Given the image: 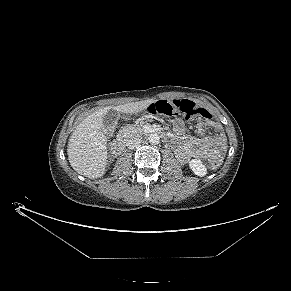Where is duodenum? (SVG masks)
I'll list each match as a JSON object with an SVG mask.
<instances>
[{
  "label": "duodenum",
  "instance_id": "1",
  "mask_svg": "<svg viewBox=\"0 0 291 291\" xmlns=\"http://www.w3.org/2000/svg\"><path fill=\"white\" fill-rule=\"evenodd\" d=\"M125 143H126V138L121 136V137H118L117 139H115L112 143V152L113 154L115 155H119L124 147H125Z\"/></svg>",
  "mask_w": 291,
  "mask_h": 291
}]
</instances>
